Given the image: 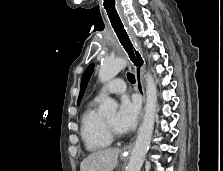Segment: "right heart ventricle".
<instances>
[{"label": "right heart ventricle", "mask_w": 223, "mask_h": 171, "mask_svg": "<svg viewBox=\"0 0 223 171\" xmlns=\"http://www.w3.org/2000/svg\"><path fill=\"white\" fill-rule=\"evenodd\" d=\"M97 103L98 99L92 100L80 119L81 139L90 152L104 150L112 143V138L105 129L103 117L97 111Z\"/></svg>", "instance_id": "obj_1"}]
</instances>
